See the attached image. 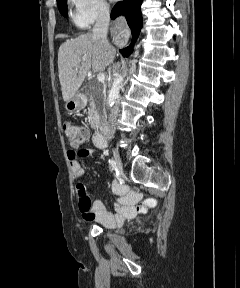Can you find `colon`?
<instances>
[{"label":"colon","mask_w":240,"mask_h":288,"mask_svg":"<svg viewBox=\"0 0 240 288\" xmlns=\"http://www.w3.org/2000/svg\"><path fill=\"white\" fill-rule=\"evenodd\" d=\"M63 132L72 146L80 145L86 140L85 130L71 122L63 123Z\"/></svg>","instance_id":"colon-1"}]
</instances>
